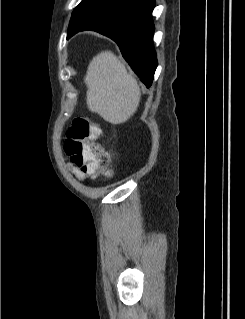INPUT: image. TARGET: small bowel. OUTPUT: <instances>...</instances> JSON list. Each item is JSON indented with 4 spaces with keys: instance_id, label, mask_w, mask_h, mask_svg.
Listing matches in <instances>:
<instances>
[{
    "instance_id": "1",
    "label": "small bowel",
    "mask_w": 245,
    "mask_h": 319,
    "mask_svg": "<svg viewBox=\"0 0 245 319\" xmlns=\"http://www.w3.org/2000/svg\"><path fill=\"white\" fill-rule=\"evenodd\" d=\"M69 169L80 179L84 177V174L76 167L73 165H69Z\"/></svg>"
}]
</instances>
